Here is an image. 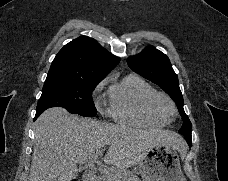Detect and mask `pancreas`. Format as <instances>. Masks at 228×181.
Wrapping results in <instances>:
<instances>
[{"instance_id":"cf45deb5","label":"pancreas","mask_w":228,"mask_h":181,"mask_svg":"<svg viewBox=\"0 0 228 181\" xmlns=\"http://www.w3.org/2000/svg\"><path fill=\"white\" fill-rule=\"evenodd\" d=\"M101 181H140L133 171H127V169H117V167H111V169H104L101 173Z\"/></svg>"}]
</instances>
